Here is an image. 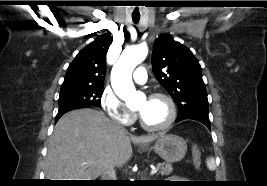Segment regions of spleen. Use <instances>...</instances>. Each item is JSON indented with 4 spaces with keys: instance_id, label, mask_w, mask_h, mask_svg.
I'll use <instances>...</instances> for the list:
<instances>
[{
    "instance_id": "spleen-1",
    "label": "spleen",
    "mask_w": 267,
    "mask_h": 186,
    "mask_svg": "<svg viewBox=\"0 0 267 186\" xmlns=\"http://www.w3.org/2000/svg\"><path fill=\"white\" fill-rule=\"evenodd\" d=\"M207 166L210 170L215 169V163H214V159L213 158H209L207 160Z\"/></svg>"
}]
</instances>
